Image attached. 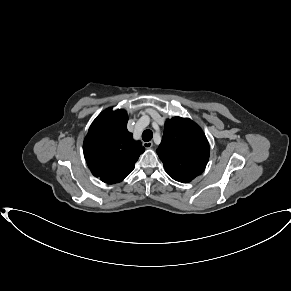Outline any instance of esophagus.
<instances>
[{"mask_svg": "<svg viewBox=\"0 0 291 291\" xmlns=\"http://www.w3.org/2000/svg\"><path fill=\"white\" fill-rule=\"evenodd\" d=\"M143 146L147 149L151 148L153 146V142L152 141H148V142H143Z\"/></svg>", "mask_w": 291, "mask_h": 291, "instance_id": "esophagus-1", "label": "esophagus"}]
</instances>
